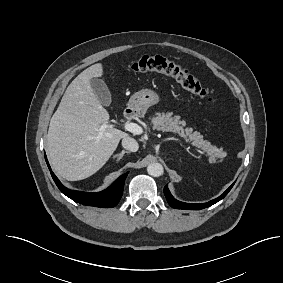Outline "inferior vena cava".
<instances>
[{"instance_id":"inferior-vena-cava-1","label":"inferior vena cava","mask_w":283,"mask_h":283,"mask_svg":"<svg viewBox=\"0 0 283 283\" xmlns=\"http://www.w3.org/2000/svg\"><path fill=\"white\" fill-rule=\"evenodd\" d=\"M122 146L123 148L131 152H136L139 148L138 142L135 139L130 138V137L123 138Z\"/></svg>"}]
</instances>
